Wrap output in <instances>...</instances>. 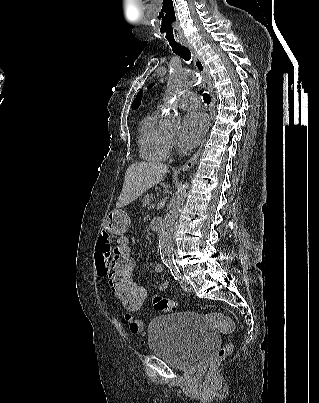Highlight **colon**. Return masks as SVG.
Segmentation results:
<instances>
[{
  "label": "colon",
  "instance_id": "5ec220e1",
  "mask_svg": "<svg viewBox=\"0 0 319 403\" xmlns=\"http://www.w3.org/2000/svg\"><path fill=\"white\" fill-rule=\"evenodd\" d=\"M118 249L124 252L113 253V287L114 300L117 304H122L123 313H146L145 291L149 290L148 282H135L133 278V268H136V253L130 252L135 249V240L132 234H117ZM154 308L161 314L178 311L175 301L169 300L159 294L153 296ZM233 350L231 343L222 345L211 361L207 375L214 373L216 366L228 357Z\"/></svg>",
  "mask_w": 319,
  "mask_h": 403
}]
</instances>
